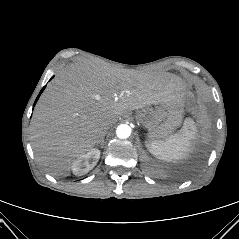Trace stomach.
<instances>
[{"label":"stomach","mask_w":239,"mask_h":239,"mask_svg":"<svg viewBox=\"0 0 239 239\" xmlns=\"http://www.w3.org/2000/svg\"><path fill=\"white\" fill-rule=\"evenodd\" d=\"M148 112L151 114V121L144 126L149 131V141L166 139L182 123L183 101L163 103L155 110Z\"/></svg>","instance_id":"obj_1"}]
</instances>
